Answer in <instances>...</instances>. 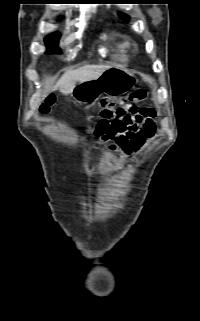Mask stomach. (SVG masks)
I'll return each mask as SVG.
<instances>
[{
  "mask_svg": "<svg viewBox=\"0 0 200 321\" xmlns=\"http://www.w3.org/2000/svg\"><path fill=\"white\" fill-rule=\"evenodd\" d=\"M136 83L133 72L113 66L106 69L97 79L80 82L71 92L73 99L79 103L97 100L101 94L114 97L127 93Z\"/></svg>",
  "mask_w": 200,
  "mask_h": 321,
  "instance_id": "0dacf381",
  "label": "stomach"
}]
</instances>
